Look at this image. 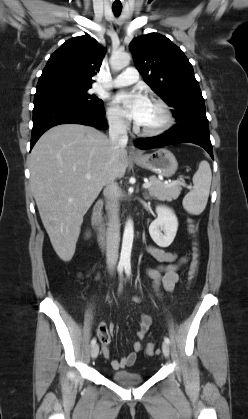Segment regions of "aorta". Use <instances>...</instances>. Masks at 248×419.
Listing matches in <instances>:
<instances>
[{"label": "aorta", "mask_w": 248, "mask_h": 419, "mask_svg": "<svg viewBox=\"0 0 248 419\" xmlns=\"http://www.w3.org/2000/svg\"><path fill=\"white\" fill-rule=\"evenodd\" d=\"M131 57L128 53H114L110 58V65L114 71H119L124 67L128 66ZM134 238V227L133 222L128 220L125 224L122 248L120 254V262L122 264H130L131 250Z\"/></svg>", "instance_id": "1"}]
</instances>
